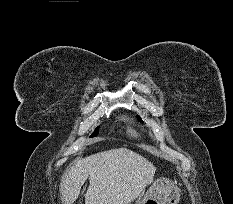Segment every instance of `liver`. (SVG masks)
Returning <instances> with one entry per match:
<instances>
[{"instance_id":"6515ba94","label":"liver","mask_w":233,"mask_h":204,"mask_svg":"<svg viewBox=\"0 0 233 204\" xmlns=\"http://www.w3.org/2000/svg\"><path fill=\"white\" fill-rule=\"evenodd\" d=\"M155 166L125 147L75 161L61 182L62 204H73L89 177L85 204H130L153 179Z\"/></svg>"}]
</instances>
